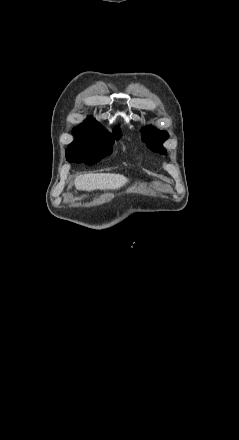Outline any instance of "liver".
<instances>
[{"label":"liver","instance_id":"1","mask_svg":"<svg viewBox=\"0 0 239 440\" xmlns=\"http://www.w3.org/2000/svg\"><path fill=\"white\" fill-rule=\"evenodd\" d=\"M128 180L120 174H83L75 180L76 190H118L127 184Z\"/></svg>","mask_w":239,"mask_h":440}]
</instances>
